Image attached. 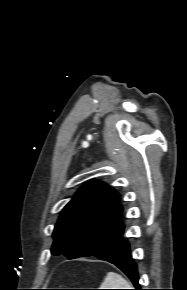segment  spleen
I'll return each mask as SVG.
<instances>
[{
	"instance_id": "3e777b00",
	"label": "spleen",
	"mask_w": 187,
	"mask_h": 290,
	"mask_svg": "<svg viewBox=\"0 0 187 290\" xmlns=\"http://www.w3.org/2000/svg\"><path fill=\"white\" fill-rule=\"evenodd\" d=\"M101 289H130L131 285L121 275L108 272L104 277Z\"/></svg>"
}]
</instances>
